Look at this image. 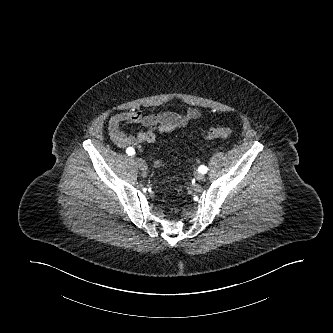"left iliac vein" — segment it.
<instances>
[{
    "mask_svg": "<svg viewBox=\"0 0 333 333\" xmlns=\"http://www.w3.org/2000/svg\"><path fill=\"white\" fill-rule=\"evenodd\" d=\"M195 178L200 181L204 178V174H202L200 172H196Z\"/></svg>",
    "mask_w": 333,
    "mask_h": 333,
    "instance_id": "left-iliac-vein-1",
    "label": "left iliac vein"
}]
</instances>
